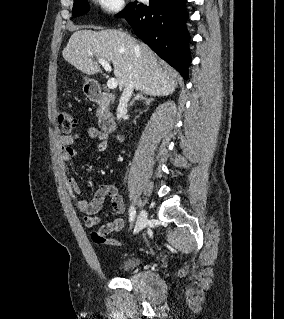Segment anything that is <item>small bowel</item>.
Returning a JSON list of instances; mask_svg holds the SVG:
<instances>
[{"mask_svg":"<svg viewBox=\"0 0 284 319\" xmlns=\"http://www.w3.org/2000/svg\"><path fill=\"white\" fill-rule=\"evenodd\" d=\"M86 136L97 141L94 148L96 152L102 153L106 150V136L98 128L90 127L86 131ZM82 137L83 134L81 132H76L60 138L62 160L67 168L70 161L79 155V151L73 147V144L78 142ZM67 186L70 193L77 197V207L83 214V220L87 227L92 228L100 225L96 232L103 237L112 232H118L124 227V220L121 218V215L125 211V205L122 196L114 185L105 184L99 186L91 200H87L81 196V188L74 178L67 180ZM106 198L110 199V215L113 216V220L102 223V217L98 213L101 211Z\"/></svg>","mask_w":284,"mask_h":319,"instance_id":"1","label":"small bowel"}]
</instances>
